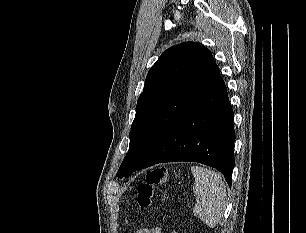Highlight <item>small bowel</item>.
I'll use <instances>...</instances> for the list:
<instances>
[{
	"label": "small bowel",
	"mask_w": 306,
	"mask_h": 233,
	"mask_svg": "<svg viewBox=\"0 0 306 233\" xmlns=\"http://www.w3.org/2000/svg\"><path fill=\"white\" fill-rule=\"evenodd\" d=\"M136 233H162V232H161V228L159 226H155V227H152V228H141V229L137 230ZM172 233H176V232L173 231Z\"/></svg>",
	"instance_id": "1"
}]
</instances>
